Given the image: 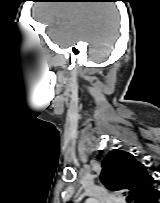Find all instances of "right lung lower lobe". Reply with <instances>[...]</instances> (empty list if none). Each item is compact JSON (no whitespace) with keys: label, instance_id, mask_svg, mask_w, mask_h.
I'll use <instances>...</instances> for the list:
<instances>
[{"label":"right lung lower lobe","instance_id":"98d812e1","mask_svg":"<svg viewBox=\"0 0 160 203\" xmlns=\"http://www.w3.org/2000/svg\"><path fill=\"white\" fill-rule=\"evenodd\" d=\"M160 199V192L156 191L149 198H147L144 203H158Z\"/></svg>","mask_w":160,"mask_h":203}]
</instances>
